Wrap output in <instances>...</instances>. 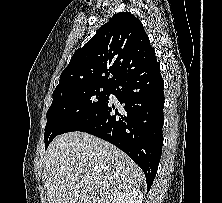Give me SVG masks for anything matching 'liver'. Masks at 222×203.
I'll return each mask as SVG.
<instances>
[{
	"instance_id": "liver-1",
	"label": "liver",
	"mask_w": 222,
	"mask_h": 203,
	"mask_svg": "<svg viewBox=\"0 0 222 203\" xmlns=\"http://www.w3.org/2000/svg\"><path fill=\"white\" fill-rule=\"evenodd\" d=\"M48 203H112L138 189L143 172L124 152L84 132L57 136L44 157Z\"/></svg>"
}]
</instances>
